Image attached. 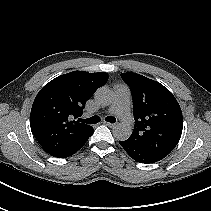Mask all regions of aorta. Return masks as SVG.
Returning a JSON list of instances; mask_svg holds the SVG:
<instances>
[{
	"instance_id": "obj_1",
	"label": "aorta",
	"mask_w": 211,
	"mask_h": 211,
	"mask_svg": "<svg viewBox=\"0 0 211 211\" xmlns=\"http://www.w3.org/2000/svg\"><path fill=\"white\" fill-rule=\"evenodd\" d=\"M112 98V92L106 87L99 88L95 93V99L102 104L110 103L112 101ZM131 133V127L125 123H119L113 129L114 137L121 141L127 140L130 137Z\"/></svg>"
}]
</instances>
